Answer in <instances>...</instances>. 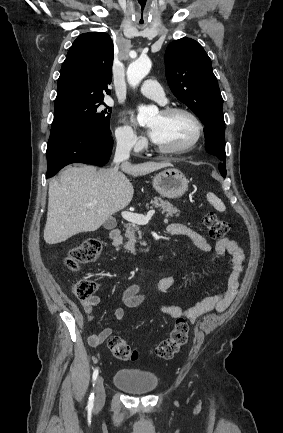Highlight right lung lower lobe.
<instances>
[{"instance_id": "98d812e1", "label": "right lung lower lobe", "mask_w": 283, "mask_h": 433, "mask_svg": "<svg viewBox=\"0 0 283 433\" xmlns=\"http://www.w3.org/2000/svg\"><path fill=\"white\" fill-rule=\"evenodd\" d=\"M113 139L95 129L83 127L51 129L47 145L46 178L71 163L105 165L112 153Z\"/></svg>"}]
</instances>
